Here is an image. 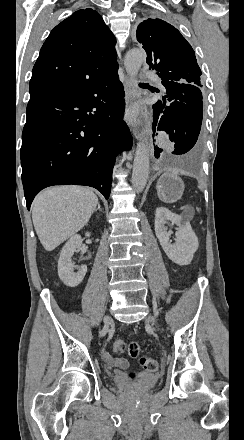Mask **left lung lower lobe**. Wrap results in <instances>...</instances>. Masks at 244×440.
<instances>
[{
    "label": "left lung lower lobe",
    "instance_id": "1",
    "mask_svg": "<svg viewBox=\"0 0 244 440\" xmlns=\"http://www.w3.org/2000/svg\"><path fill=\"white\" fill-rule=\"evenodd\" d=\"M162 84L166 95L163 102L158 101L152 106L153 132H166L175 143L172 154L181 155L195 146L200 134L203 102L199 87L202 85L174 81H162ZM154 149L155 157L159 158L162 149Z\"/></svg>",
    "mask_w": 244,
    "mask_h": 440
}]
</instances>
